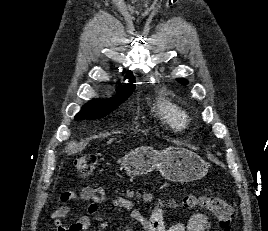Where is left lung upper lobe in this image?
Segmentation results:
<instances>
[{
  "label": "left lung upper lobe",
  "instance_id": "5c2ea615",
  "mask_svg": "<svg viewBox=\"0 0 268 231\" xmlns=\"http://www.w3.org/2000/svg\"><path fill=\"white\" fill-rule=\"evenodd\" d=\"M179 81L183 84V85H185V84H187L188 83V81L187 80H185V79H179Z\"/></svg>",
  "mask_w": 268,
  "mask_h": 231
}]
</instances>
